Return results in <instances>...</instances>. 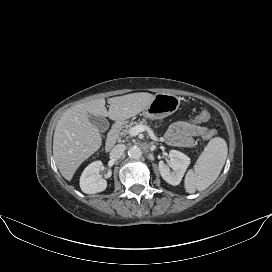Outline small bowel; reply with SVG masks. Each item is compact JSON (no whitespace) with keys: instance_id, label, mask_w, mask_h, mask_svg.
<instances>
[{"instance_id":"obj_1","label":"small bowel","mask_w":272,"mask_h":272,"mask_svg":"<svg viewBox=\"0 0 272 272\" xmlns=\"http://www.w3.org/2000/svg\"><path fill=\"white\" fill-rule=\"evenodd\" d=\"M207 129L194 123L179 121L172 124L166 131V140L170 145L179 147H190L193 138L203 136Z\"/></svg>"}]
</instances>
